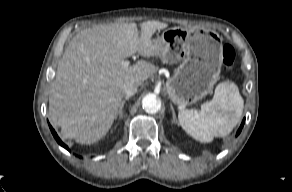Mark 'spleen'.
Instances as JSON below:
<instances>
[{
    "instance_id": "1",
    "label": "spleen",
    "mask_w": 292,
    "mask_h": 192,
    "mask_svg": "<svg viewBox=\"0 0 292 192\" xmlns=\"http://www.w3.org/2000/svg\"><path fill=\"white\" fill-rule=\"evenodd\" d=\"M243 106L237 85L227 81L217 85L213 99L203 103L199 111L181 109L178 121L191 137L208 143L231 133L240 121Z\"/></svg>"
}]
</instances>
